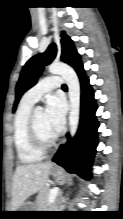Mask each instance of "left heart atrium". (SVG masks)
Segmentation results:
<instances>
[{"instance_id": "1", "label": "left heart atrium", "mask_w": 123, "mask_h": 219, "mask_svg": "<svg viewBox=\"0 0 123 219\" xmlns=\"http://www.w3.org/2000/svg\"><path fill=\"white\" fill-rule=\"evenodd\" d=\"M45 117L53 133L59 134L65 124V105L60 97L50 96L47 99Z\"/></svg>"}]
</instances>
